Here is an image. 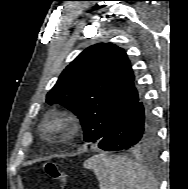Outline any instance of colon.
<instances>
[{
  "instance_id": "5ec220e1",
  "label": "colon",
  "mask_w": 188,
  "mask_h": 189,
  "mask_svg": "<svg viewBox=\"0 0 188 189\" xmlns=\"http://www.w3.org/2000/svg\"><path fill=\"white\" fill-rule=\"evenodd\" d=\"M41 170L48 177L56 180L59 184L60 189H62L67 182V175L61 170L59 165L52 161H46L41 165Z\"/></svg>"
}]
</instances>
